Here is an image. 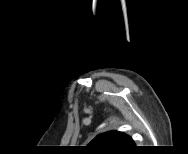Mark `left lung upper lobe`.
<instances>
[{
  "instance_id": "obj_1",
  "label": "left lung upper lobe",
  "mask_w": 188,
  "mask_h": 154,
  "mask_svg": "<svg viewBox=\"0 0 188 154\" xmlns=\"http://www.w3.org/2000/svg\"><path fill=\"white\" fill-rule=\"evenodd\" d=\"M133 145L130 136L117 131H111L98 135L93 139L89 147L94 150L119 151L124 150Z\"/></svg>"
}]
</instances>
